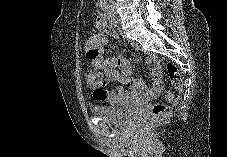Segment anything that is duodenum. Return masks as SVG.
Here are the masks:
<instances>
[{"label": "duodenum", "instance_id": "1", "mask_svg": "<svg viewBox=\"0 0 227 157\" xmlns=\"http://www.w3.org/2000/svg\"><path fill=\"white\" fill-rule=\"evenodd\" d=\"M102 23H114L115 19L113 15H103L100 18ZM94 30H103V25H94Z\"/></svg>", "mask_w": 227, "mask_h": 157}]
</instances>
